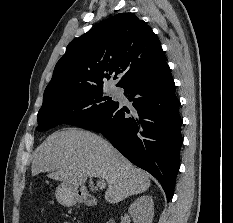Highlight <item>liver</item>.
<instances>
[{"label":"liver","mask_w":233,"mask_h":223,"mask_svg":"<svg viewBox=\"0 0 233 223\" xmlns=\"http://www.w3.org/2000/svg\"><path fill=\"white\" fill-rule=\"evenodd\" d=\"M31 173H48L51 179L73 185H84L88 177H102L107 181L104 199L108 203L143 193L151 185L148 173L130 163L109 141L79 127L55 131L36 147Z\"/></svg>","instance_id":"liver-1"}]
</instances>
